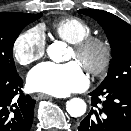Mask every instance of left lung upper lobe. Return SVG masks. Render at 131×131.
Instances as JSON below:
<instances>
[{
  "label": "left lung upper lobe",
  "mask_w": 131,
  "mask_h": 131,
  "mask_svg": "<svg viewBox=\"0 0 131 131\" xmlns=\"http://www.w3.org/2000/svg\"><path fill=\"white\" fill-rule=\"evenodd\" d=\"M78 12L92 17L102 26L111 46L112 61L100 86L131 89V26L106 11L82 9Z\"/></svg>",
  "instance_id": "5c2ea615"
}]
</instances>
